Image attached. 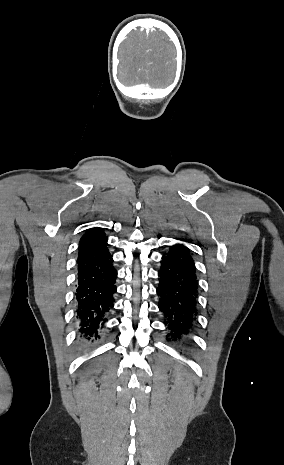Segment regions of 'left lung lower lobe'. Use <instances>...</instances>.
I'll return each instance as SVG.
<instances>
[{
	"instance_id": "0a47b994",
	"label": "left lung lower lobe",
	"mask_w": 284,
	"mask_h": 465,
	"mask_svg": "<svg viewBox=\"0 0 284 465\" xmlns=\"http://www.w3.org/2000/svg\"><path fill=\"white\" fill-rule=\"evenodd\" d=\"M157 294L159 309L166 317L165 324L170 330L168 341L186 340L196 324L197 280L195 266L189 249L174 245L162 256L158 272Z\"/></svg>"
}]
</instances>
